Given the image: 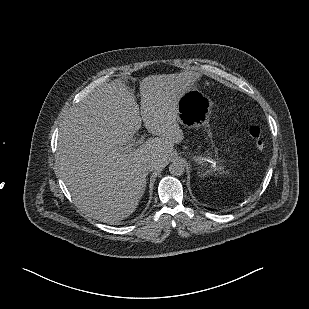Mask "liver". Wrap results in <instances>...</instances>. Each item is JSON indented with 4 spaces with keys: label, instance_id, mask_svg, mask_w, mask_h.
I'll return each instance as SVG.
<instances>
[{
    "label": "liver",
    "instance_id": "6515ba94",
    "mask_svg": "<svg viewBox=\"0 0 309 309\" xmlns=\"http://www.w3.org/2000/svg\"><path fill=\"white\" fill-rule=\"evenodd\" d=\"M145 78L141 107L119 80L93 90L69 109L60 125L56 161L75 204L89 218L116 222L128 217L142 198L148 166L164 165L182 140L176 106ZM152 135L139 148H124L134 133Z\"/></svg>",
    "mask_w": 309,
    "mask_h": 309
}]
</instances>
